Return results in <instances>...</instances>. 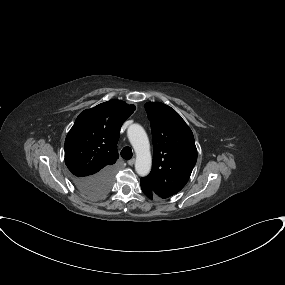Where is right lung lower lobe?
I'll return each instance as SVG.
<instances>
[{"label":"right lung lower lobe","instance_id":"right-lung-lower-lobe-1","mask_svg":"<svg viewBox=\"0 0 285 285\" xmlns=\"http://www.w3.org/2000/svg\"><path fill=\"white\" fill-rule=\"evenodd\" d=\"M116 166H108L88 177L73 176L72 180L78 190L88 197L106 194L112 187Z\"/></svg>","mask_w":285,"mask_h":285}]
</instances>
